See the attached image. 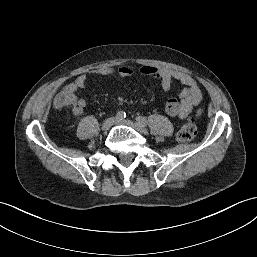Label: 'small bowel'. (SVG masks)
I'll use <instances>...</instances> for the list:
<instances>
[{"label":"small bowel","mask_w":257,"mask_h":257,"mask_svg":"<svg viewBox=\"0 0 257 257\" xmlns=\"http://www.w3.org/2000/svg\"><path fill=\"white\" fill-rule=\"evenodd\" d=\"M142 77L149 78L154 81H158L164 92H168L174 81L181 83L184 89L175 97L168 99L165 105L166 113L173 118L185 119L190 114L192 109L199 104L202 99V92L197 81L189 74L181 71L171 69H158L153 66L144 65L136 72L131 67L123 66L118 69L109 67H101L90 71L88 74H80L76 79L69 83L65 88V92L72 94L76 101V108L72 109V115L78 117L83 113V109L87 105L85 97L77 98L75 93L84 89L88 82L90 75L102 76V77H119L130 78L135 74ZM202 110L198 111V115H201Z\"/></svg>","instance_id":"obj_1"}]
</instances>
